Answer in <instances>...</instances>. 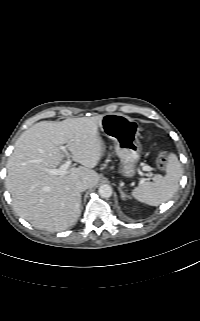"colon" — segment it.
Wrapping results in <instances>:
<instances>
[{"instance_id":"obj_1","label":"colon","mask_w":200,"mask_h":321,"mask_svg":"<svg viewBox=\"0 0 200 321\" xmlns=\"http://www.w3.org/2000/svg\"><path fill=\"white\" fill-rule=\"evenodd\" d=\"M157 164L161 169H164L166 166V157L164 153H160L157 159Z\"/></svg>"}]
</instances>
